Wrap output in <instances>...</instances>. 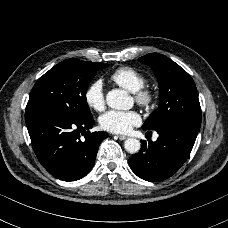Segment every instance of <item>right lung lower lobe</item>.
<instances>
[{"label":"right lung lower lobe","instance_id":"1","mask_svg":"<svg viewBox=\"0 0 228 228\" xmlns=\"http://www.w3.org/2000/svg\"><path fill=\"white\" fill-rule=\"evenodd\" d=\"M93 124L92 117L76 119L55 112L26 117L38 160L51 175L63 181L81 179L92 169L99 145L108 137L107 132L86 131Z\"/></svg>","mask_w":228,"mask_h":228}]
</instances>
